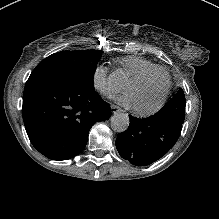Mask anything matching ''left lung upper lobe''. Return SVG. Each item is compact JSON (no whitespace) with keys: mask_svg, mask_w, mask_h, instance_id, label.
Listing matches in <instances>:
<instances>
[{"mask_svg":"<svg viewBox=\"0 0 219 219\" xmlns=\"http://www.w3.org/2000/svg\"><path fill=\"white\" fill-rule=\"evenodd\" d=\"M185 97L180 89L178 93L155 116L172 119L180 124L184 121Z\"/></svg>","mask_w":219,"mask_h":219,"instance_id":"left-lung-upper-lobe-1","label":"left lung upper lobe"}]
</instances>
